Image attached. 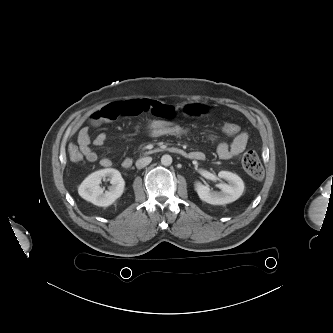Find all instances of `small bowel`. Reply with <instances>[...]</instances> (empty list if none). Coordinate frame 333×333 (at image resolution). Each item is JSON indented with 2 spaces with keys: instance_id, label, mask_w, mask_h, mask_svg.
<instances>
[{
  "instance_id": "obj_1",
  "label": "small bowel",
  "mask_w": 333,
  "mask_h": 333,
  "mask_svg": "<svg viewBox=\"0 0 333 333\" xmlns=\"http://www.w3.org/2000/svg\"><path fill=\"white\" fill-rule=\"evenodd\" d=\"M150 112L158 118L157 121H175L178 116V111L170 106L159 101L150 99H133L128 101L112 102L101 109L95 111L90 117L91 126H99L102 123L110 122L120 116H137L142 113ZM107 140L105 133H99L93 140L95 146H103ZM77 143L82 156L89 162H95L98 156L91 148V139L89 128L82 127L77 135ZM248 143L246 133H239L231 142H221L217 147V153L220 158L228 160L239 157L245 150ZM191 158L202 159L203 154L195 151L189 154ZM103 167L112 166L113 162L109 157H103L100 160Z\"/></svg>"
}]
</instances>
